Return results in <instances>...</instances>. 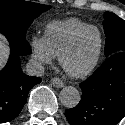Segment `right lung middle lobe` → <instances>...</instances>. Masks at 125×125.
Instances as JSON below:
<instances>
[{
	"instance_id": "right-lung-middle-lobe-1",
	"label": "right lung middle lobe",
	"mask_w": 125,
	"mask_h": 125,
	"mask_svg": "<svg viewBox=\"0 0 125 125\" xmlns=\"http://www.w3.org/2000/svg\"><path fill=\"white\" fill-rule=\"evenodd\" d=\"M50 8L24 0H0V32L25 37L33 20Z\"/></svg>"
}]
</instances>
